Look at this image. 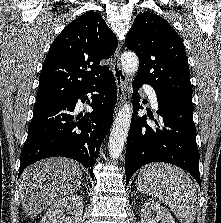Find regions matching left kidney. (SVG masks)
<instances>
[{"instance_id": "1", "label": "left kidney", "mask_w": 221, "mask_h": 223, "mask_svg": "<svg viewBox=\"0 0 221 223\" xmlns=\"http://www.w3.org/2000/svg\"><path fill=\"white\" fill-rule=\"evenodd\" d=\"M156 216L152 217V214ZM176 223L170 212L155 201L144 203L141 210V223Z\"/></svg>"}]
</instances>
